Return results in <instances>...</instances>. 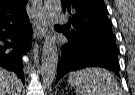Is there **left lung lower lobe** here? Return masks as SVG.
Returning a JSON list of instances; mask_svg holds the SVG:
<instances>
[{
  "label": "left lung lower lobe",
  "mask_w": 135,
  "mask_h": 95,
  "mask_svg": "<svg viewBox=\"0 0 135 95\" xmlns=\"http://www.w3.org/2000/svg\"><path fill=\"white\" fill-rule=\"evenodd\" d=\"M66 37L68 43L62 46L57 66V80L68 72L86 67H103L119 76L116 39L105 36L76 39Z\"/></svg>",
  "instance_id": "obj_1"
}]
</instances>
